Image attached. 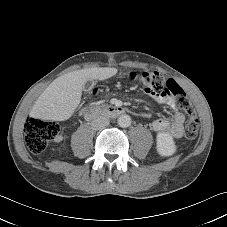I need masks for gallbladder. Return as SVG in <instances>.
Returning a JSON list of instances; mask_svg holds the SVG:
<instances>
[{
  "mask_svg": "<svg viewBox=\"0 0 227 227\" xmlns=\"http://www.w3.org/2000/svg\"><path fill=\"white\" fill-rule=\"evenodd\" d=\"M95 85V82L94 80H88L84 86H83V90L84 91H90Z\"/></svg>",
  "mask_w": 227,
  "mask_h": 227,
  "instance_id": "bac80fb5",
  "label": "gallbladder"
}]
</instances>
